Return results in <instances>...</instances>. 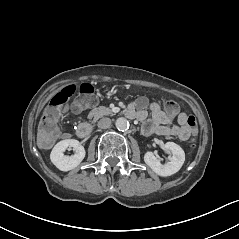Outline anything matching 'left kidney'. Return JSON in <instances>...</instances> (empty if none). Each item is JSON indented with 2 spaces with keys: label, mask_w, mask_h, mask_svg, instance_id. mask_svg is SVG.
<instances>
[{
  "label": "left kidney",
  "mask_w": 239,
  "mask_h": 239,
  "mask_svg": "<svg viewBox=\"0 0 239 239\" xmlns=\"http://www.w3.org/2000/svg\"><path fill=\"white\" fill-rule=\"evenodd\" d=\"M165 149L172 153V157L166 164H161L152 152H146L144 155L145 163L158 175L170 176L180 170L185 161L184 150L174 142H167Z\"/></svg>",
  "instance_id": "obj_1"
}]
</instances>
